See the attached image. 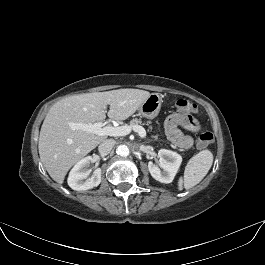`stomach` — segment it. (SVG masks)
<instances>
[{
    "instance_id": "stomach-1",
    "label": "stomach",
    "mask_w": 265,
    "mask_h": 265,
    "mask_svg": "<svg viewBox=\"0 0 265 265\" xmlns=\"http://www.w3.org/2000/svg\"><path fill=\"white\" fill-rule=\"evenodd\" d=\"M162 97L158 93H152L139 107V115L147 118H155L161 109Z\"/></svg>"
}]
</instances>
